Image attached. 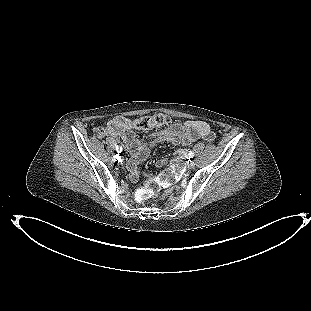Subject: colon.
<instances>
[{
  "mask_svg": "<svg viewBox=\"0 0 311 311\" xmlns=\"http://www.w3.org/2000/svg\"><path fill=\"white\" fill-rule=\"evenodd\" d=\"M170 122V118L162 113L154 114L152 116L142 117L134 122L135 126L142 129H150L166 125ZM118 129L116 121L108 125L106 128L100 127L95 130V135L98 138L104 137L112 131ZM179 172L178 163H173L171 168L161 172L159 175L150 178L140 189L136 192V199L139 202H144L149 198L154 197L162 188L169 186L176 178Z\"/></svg>",
  "mask_w": 311,
  "mask_h": 311,
  "instance_id": "obj_1",
  "label": "colon"
}]
</instances>
